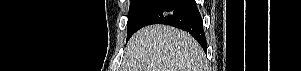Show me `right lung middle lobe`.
I'll return each instance as SVG.
<instances>
[{"label":"right lung middle lobe","instance_id":"dd1d6c3e","mask_svg":"<svg viewBox=\"0 0 301 71\" xmlns=\"http://www.w3.org/2000/svg\"><path fill=\"white\" fill-rule=\"evenodd\" d=\"M157 2L158 0H130L127 22V40L136 31L148 10Z\"/></svg>","mask_w":301,"mask_h":71}]
</instances>
